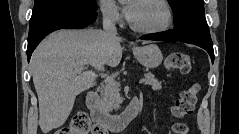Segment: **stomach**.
<instances>
[{"label":"stomach","instance_id":"0dacf381","mask_svg":"<svg viewBox=\"0 0 239 134\" xmlns=\"http://www.w3.org/2000/svg\"><path fill=\"white\" fill-rule=\"evenodd\" d=\"M136 59L146 68H156L163 60V55L159 47L155 44H148L143 47L133 48Z\"/></svg>","mask_w":239,"mask_h":134}]
</instances>
